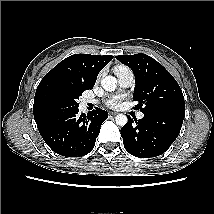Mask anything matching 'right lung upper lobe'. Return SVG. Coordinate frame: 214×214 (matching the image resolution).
<instances>
[{
	"label": "right lung upper lobe",
	"instance_id": "cb5924a9",
	"mask_svg": "<svg viewBox=\"0 0 214 214\" xmlns=\"http://www.w3.org/2000/svg\"><path fill=\"white\" fill-rule=\"evenodd\" d=\"M111 55L74 54L50 70L37 87L33 114L36 123L53 111L42 104L41 95L46 86L54 82H61L92 89L99 72L112 60Z\"/></svg>",
	"mask_w": 214,
	"mask_h": 214
}]
</instances>
